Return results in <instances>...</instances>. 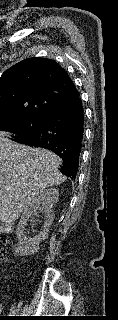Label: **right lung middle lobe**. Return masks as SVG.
<instances>
[{
    "instance_id": "dd1d6c3e",
    "label": "right lung middle lobe",
    "mask_w": 118,
    "mask_h": 320,
    "mask_svg": "<svg viewBox=\"0 0 118 320\" xmlns=\"http://www.w3.org/2000/svg\"><path fill=\"white\" fill-rule=\"evenodd\" d=\"M43 120L41 118L0 119V131L14 134V141H16L40 130Z\"/></svg>"
}]
</instances>
